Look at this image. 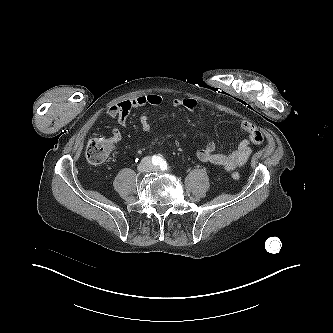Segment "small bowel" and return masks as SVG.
<instances>
[{
    "instance_id": "1",
    "label": "small bowel",
    "mask_w": 333,
    "mask_h": 333,
    "mask_svg": "<svg viewBox=\"0 0 333 333\" xmlns=\"http://www.w3.org/2000/svg\"><path fill=\"white\" fill-rule=\"evenodd\" d=\"M162 102L163 98L158 93L139 95L112 105L107 111V116L109 118H117L119 125L126 127L132 109L144 106L157 107L161 105ZM170 104L172 107H183L189 111H194L198 106L197 101L192 97L174 98L171 100ZM139 121L142 131L145 134L151 135L153 131L149 117L147 115H142ZM241 128L246 133V137L230 154L218 153L216 144L211 141L197 151V158L202 162L210 163L227 172L243 167L252 154L251 144H262L264 142V136L258 128L249 121H243L241 123ZM111 133L116 141L120 140L121 134L116 127L111 129ZM172 136L173 133H164L159 135L158 138L166 140Z\"/></svg>"
}]
</instances>
